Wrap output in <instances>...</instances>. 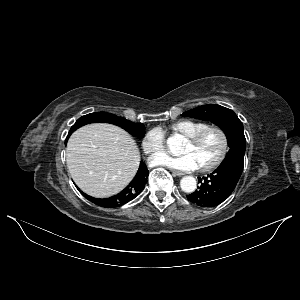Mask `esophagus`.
<instances>
[{
    "instance_id": "obj_1",
    "label": "esophagus",
    "mask_w": 300,
    "mask_h": 300,
    "mask_svg": "<svg viewBox=\"0 0 300 300\" xmlns=\"http://www.w3.org/2000/svg\"><path fill=\"white\" fill-rule=\"evenodd\" d=\"M171 172H172V174L175 175V176H183V175H184L183 172H180V171H177V170H172Z\"/></svg>"
}]
</instances>
